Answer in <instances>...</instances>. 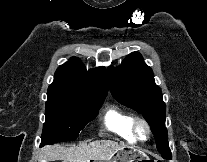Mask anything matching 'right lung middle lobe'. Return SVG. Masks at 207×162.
<instances>
[{
    "instance_id": "1",
    "label": "right lung middle lobe",
    "mask_w": 207,
    "mask_h": 162,
    "mask_svg": "<svg viewBox=\"0 0 207 162\" xmlns=\"http://www.w3.org/2000/svg\"><path fill=\"white\" fill-rule=\"evenodd\" d=\"M47 96L41 146L75 140L80 130L97 116L105 99L49 92Z\"/></svg>"
}]
</instances>
